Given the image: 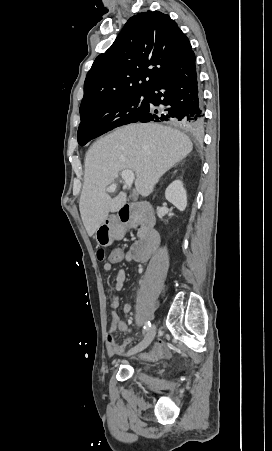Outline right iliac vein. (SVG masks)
I'll return each instance as SVG.
<instances>
[{"instance_id": "1", "label": "right iliac vein", "mask_w": 272, "mask_h": 451, "mask_svg": "<svg viewBox=\"0 0 272 451\" xmlns=\"http://www.w3.org/2000/svg\"><path fill=\"white\" fill-rule=\"evenodd\" d=\"M156 334V326L152 325L148 332L146 333L144 339L135 347H133L128 353L135 354L146 349L149 344L152 342Z\"/></svg>"}]
</instances>
